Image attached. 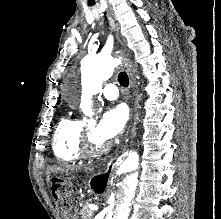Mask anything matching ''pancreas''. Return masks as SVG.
Segmentation results:
<instances>
[{
    "label": "pancreas",
    "mask_w": 221,
    "mask_h": 219,
    "mask_svg": "<svg viewBox=\"0 0 221 219\" xmlns=\"http://www.w3.org/2000/svg\"><path fill=\"white\" fill-rule=\"evenodd\" d=\"M88 205L85 204L80 211L81 219H92L93 212H90Z\"/></svg>",
    "instance_id": "pancreas-1"
}]
</instances>
